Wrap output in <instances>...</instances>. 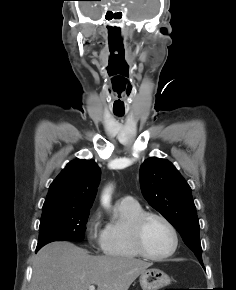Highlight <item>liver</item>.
Instances as JSON below:
<instances>
[{
	"instance_id": "liver-1",
	"label": "liver",
	"mask_w": 236,
	"mask_h": 290,
	"mask_svg": "<svg viewBox=\"0 0 236 290\" xmlns=\"http://www.w3.org/2000/svg\"><path fill=\"white\" fill-rule=\"evenodd\" d=\"M152 264L130 257L92 256L70 242H52L33 260L29 290H128Z\"/></svg>"
}]
</instances>
